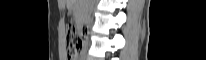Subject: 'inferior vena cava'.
Returning <instances> with one entry per match:
<instances>
[{
	"mask_svg": "<svg viewBox=\"0 0 206 60\" xmlns=\"http://www.w3.org/2000/svg\"><path fill=\"white\" fill-rule=\"evenodd\" d=\"M87 22L88 23L91 22V14H90V12L87 13Z\"/></svg>",
	"mask_w": 206,
	"mask_h": 60,
	"instance_id": "obj_1",
	"label": "inferior vena cava"
}]
</instances>
